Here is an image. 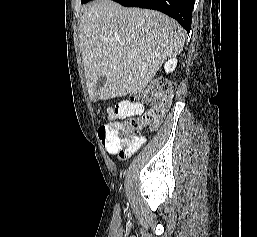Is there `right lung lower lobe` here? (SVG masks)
I'll return each mask as SVG.
<instances>
[{
  "mask_svg": "<svg viewBox=\"0 0 257 237\" xmlns=\"http://www.w3.org/2000/svg\"><path fill=\"white\" fill-rule=\"evenodd\" d=\"M126 7H140L160 11L178 21L187 31L192 23L195 0H113Z\"/></svg>",
  "mask_w": 257,
  "mask_h": 237,
  "instance_id": "1",
  "label": "right lung lower lobe"
}]
</instances>
